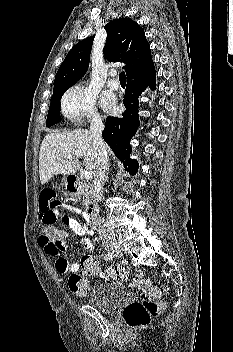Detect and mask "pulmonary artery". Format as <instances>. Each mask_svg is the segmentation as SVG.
Here are the masks:
<instances>
[{
	"instance_id": "e3ab8cb5",
	"label": "pulmonary artery",
	"mask_w": 233,
	"mask_h": 352,
	"mask_svg": "<svg viewBox=\"0 0 233 352\" xmlns=\"http://www.w3.org/2000/svg\"><path fill=\"white\" fill-rule=\"evenodd\" d=\"M110 76H111V78L108 80L107 85L109 88L117 90L119 88L120 84H119L118 80L115 79L116 71H114V70L111 71Z\"/></svg>"
}]
</instances>
